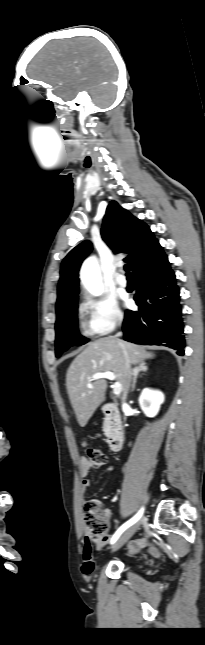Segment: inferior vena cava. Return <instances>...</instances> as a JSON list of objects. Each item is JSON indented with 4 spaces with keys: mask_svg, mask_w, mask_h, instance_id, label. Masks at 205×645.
<instances>
[{
    "mask_svg": "<svg viewBox=\"0 0 205 645\" xmlns=\"http://www.w3.org/2000/svg\"><path fill=\"white\" fill-rule=\"evenodd\" d=\"M121 335H122V333H121V332H119V333L116 335V337H119V336H121ZM130 377H131V372H130V370H129V371H128V379H130ZM127 388H128V387H127ZM127 393H128V389H126V391L124 392L123 400H125V399H126Z\"/></svg>",
    "mask_w": 205,
    "mask_h": 645,
    "instance_id": "obj_1",
    "label": "inferior vena cava"
}]
</instances>
